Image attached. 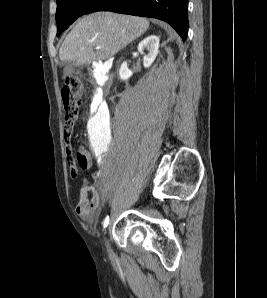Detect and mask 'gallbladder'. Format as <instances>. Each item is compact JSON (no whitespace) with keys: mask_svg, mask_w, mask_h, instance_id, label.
Listing matches in <instances>:
<instances>
[{"mask_svg":"<svg viewBox=\"0 0 267 298\" xmlns=\"http://www.w3.org/2000/svg\"><path fill=\"white\" fill-rule=\"evenodd\" d=\"M64 64H65V66H66V67H65V72L70 71V70L73 69V66L70 65L68 62H65Z\"/></svg>","mask_w":267,"mask_h":298,"instance_id":"1","label":"gallbladder"}]
</instances>
